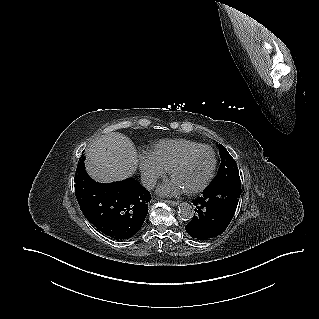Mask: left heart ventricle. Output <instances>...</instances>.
<instances>
[{
    "label": "left heart ventricle",
    "mask_w": 319,
    "mask_h": 319,
    "mask_svg": "<svg viewBox=\"0 0 319 319\" xmlns=\"http://www.w3.org/2000/svg\"><path fill=\"white\" fill-rule=\"evenodd\" d=\"M211 165V152L207 149L198 150L174 172L172 179L184 190L193 189L206 179Z\"/></svg>",
    "instance_id": "b2bd125f"
}]
</instances>
